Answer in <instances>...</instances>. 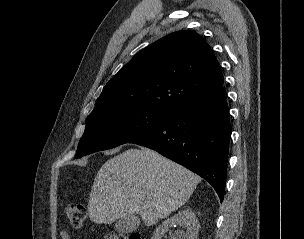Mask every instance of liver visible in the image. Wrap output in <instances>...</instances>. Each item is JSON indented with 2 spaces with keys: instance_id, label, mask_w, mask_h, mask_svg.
Here are the masks:
<instances>
[{
  "instance_id": "6515ba94",
  "label": "liver",
  "mask_w": 304,
  "mask_h": 239,
  "mask_svg": "<svg viewBox=\"0 0 304 239\" xmlns=\"http://www.w3.org/2000/svg\"><path fill=\"white\" fill-rule=\"evenodd\" d=\"M200 181L154 150L128 149L98 171L88 201L90 220L111 224L139 214L146 226H152L185 204Z\"/></svg>"
}]
</instances>
